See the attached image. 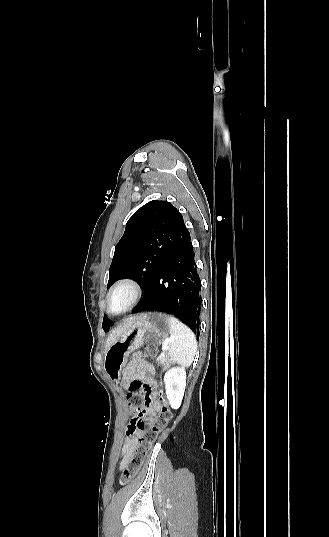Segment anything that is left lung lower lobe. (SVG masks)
<instances>
[{"label": "left lung lower lobe", "mask_w": 329, "mask_h": 537, "mask_svg": "<svg viewBox=\"0 0 329 537\" xmlns=\"http://www.w3.org/2000/svg\"><path fill=\"white\" fill-rule=\"evenodd\" d=\"M194 256L188 236L160 266L133 313L162 311L175 315L199 337L201 281Z\"/></svg>", "instance_id": "left-lung-lower-lobe-1"}]
</instances>
